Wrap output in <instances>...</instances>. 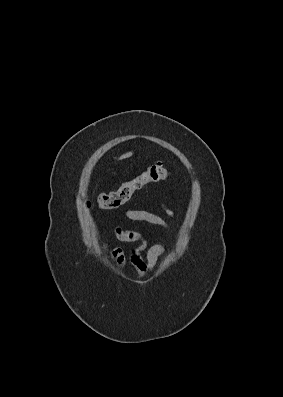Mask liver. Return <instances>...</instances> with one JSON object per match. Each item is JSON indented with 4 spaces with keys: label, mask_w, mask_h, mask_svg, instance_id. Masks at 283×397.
I'll use <instances>...</instances> for the list:
<instances>
[{
    "label": "liver",
    "mask_w": 283,
    "mask_h": 397,
    "mask_svg": "<svg viewBox=\"0 0 283 397\" xmlns=\"http://www.w3.org/2000/svg\"><path fill=\"white\" fill-rule=\"evenodd\" d=\"M130 156H132V152H128V153H126V154H123V155L120 157V159H125V158H128V157H130Z\"/></svg>",
    "instance_id": "1"
}]
</instances>
